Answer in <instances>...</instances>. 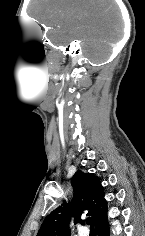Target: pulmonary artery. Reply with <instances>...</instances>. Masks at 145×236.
<instances>
[{"label":"pulmonary artery","mask_w":145,"mask_h":236,"mask_svg":"<svg viewBox=\"0 0 145 236\" xmlns=\"http://www.w3.org/2000/svg\"><path fill=\"white\" fill-rule=\"evenodd\" d=\"M78 234L79 236H89V230L86 227H80Z\"/></svg>","instance_id":"e3ab8cb5"}]
</instances>
